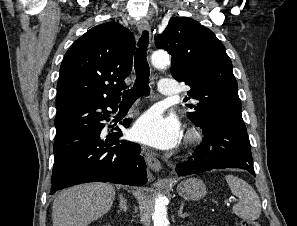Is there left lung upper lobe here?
<instances>
[{"label":"left lung upper lobe","instance_id":"1","mask_svg":"<svg viewBox=\"0 0 297 226\" xmlns=\"http://www.w3.org/2000/svg\"><path fill=\"white\" fill-rule=\"evenodd\" d=\"M157 48L172 55L171 73L191 89V121L201 126L216 119L243 122L238 85L224 45L208 28L188 17L171 18L156 37Z\"/></svg>","mask_w":297,"mask_h":226}]
</instances>
